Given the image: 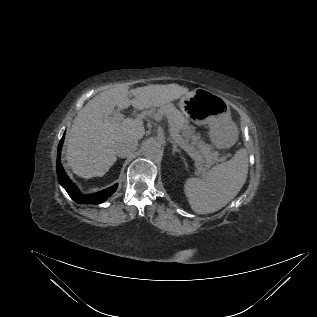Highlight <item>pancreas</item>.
Masks as SVG:
<instances>
[{
  "mask_svg": "<svg viewBox=\"0 0 317 317\" xmlns=\"http://www.w3.org/2000/svg\"><path fill=\"white\" fill-rule=\"evenodd\" d=\"M150 115L154 119L165 115L169 121L170 131L178 135L181 133L180 137L186 146V151L195 161L199 172H204L218 160V152L213 151L212 146L201 139L195 127L172 104L162 105L157 111L152 110Z\"/></svg>",
  "mask_w": 317,
  "mask_h": 317,
  "instance_id": "cf45deb5",
  "label": "pancreas"
}]
</instances>
